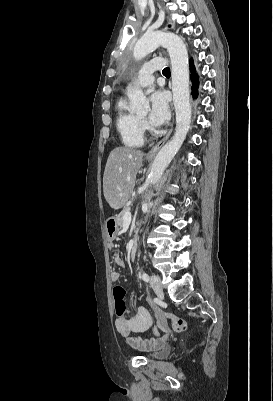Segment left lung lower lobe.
I'll return each mask as SVG.
<instances>
[{
	"label": "left lung lower lobe",
	"mask_w": 273,
	"mask_h": 401,
	"mask_svg": "<svg viewBox=\"0 0 273 401\" xmlns=\"http://www.w3.org/2000/svg\"><path fill=\"white\" fill-rule=\"evenodd\" d=\"M190 69H191V72H192L191 79H192V82H193V85H192L193 92H192V94L194 95V98H195L197 96L198 78H197V75L195 73V67L193 65V60L192 59L190 60Z\"/></svg>",
	"instance_id": "0a47b994"
}]
</instances>
